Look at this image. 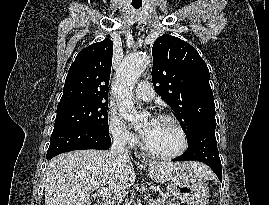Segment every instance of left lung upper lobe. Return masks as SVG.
Wrapping results in <instances>:
<instances>
[{
    "mask_svg": "<svg viewBox=\"0 0 269 205\" xmlns=\"http://www.w3.org/2000/svg\"><path fill=\"white\" fill-rule=\"evenodd\" d=\"M155 91L172 108L187 139L203 125H216L210 74L197 50L165 34L152 47Z\"/></svg>",
    "mask_w": 269,
    "mask_h": 205,
    "instance_id": "left-lung-upper-lobe-1",
    "label": "left lung upper lobe"
}]
</instances>
